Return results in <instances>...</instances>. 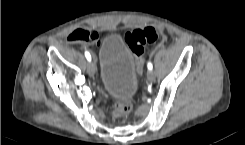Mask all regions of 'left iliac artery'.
<instances>
[{
  "instance_id": "left-iliac-artery-1",
  "label": "left iliac artery",
  "mask_w": 245,
  "mask_h": 145,
  "mask_svg": "<svg viewBox=\"0 0 245 145\" xmlns=\"http://www.w3.org/2000/svg\"><path fill=\"white\" fill-rule=\"evenodd\" d=\"M147 67H148V69H149V70H152V69H153V65H152V63H151V62H149V63L147 64Z\"/></svg>"
}]
</instances>
